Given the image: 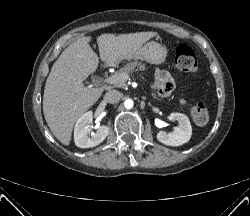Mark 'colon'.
Listing matches in <instances>:
<instances>
[{
	"instance_id": "5ec220e1",
	"label": "colon",
	"mask_w": 250,
	"mask_h": 216,
	"mask_svg": "<svg viewBox=\"0 0 250 216\" xmlns=\"http://www.w3.org/2000/svg\"><path fill=\"white\" fill-rule=\"evenodd\" d=\"M176 65L183 72H194L198 61L194 51L187 45H180L176 50ZM191 117L197 125H205L209 121V113L203 103H194L190 109Z\"/></svg>"
}]
</instances>
